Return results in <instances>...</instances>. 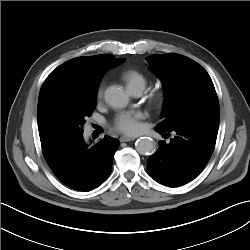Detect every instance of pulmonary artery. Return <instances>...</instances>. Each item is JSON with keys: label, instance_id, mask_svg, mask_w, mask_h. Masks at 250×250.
Wrapping results in <instances>:
<instances>
[{"label": "pulmonary artery", "instance_id": "1", "mask_svg": "<svg viewBox=\"0 0 250 250\" xmlns=\"http://www.w3.org/2000/svg\"><path fill=\"white\" fill-rule=\"evenodd\" d=\"M144 88L137 86L130 88V92L135 96H140L143 93Z\"/></svg>", "mask_w": 250, "mask_h": 250}]
</instances>
